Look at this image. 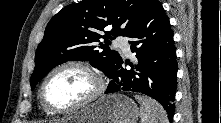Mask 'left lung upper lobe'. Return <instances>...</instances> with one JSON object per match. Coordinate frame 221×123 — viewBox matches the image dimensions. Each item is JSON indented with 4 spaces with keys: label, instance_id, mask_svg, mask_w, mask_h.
<instances>
[{
    "label": "left lung upper lobe",
    "instance_id": "left-lung-upper-lobe-1",
    "mask_svg": "<svg viewBox=\"0 0 221 123\" xmlns=\"http://www.w3.org/2000/svg\"><path fill=\"white\" fill-rule=\"evenodd\" d=\"M157 0H82L60 10L48 23L35 55L31 89L55 66L67 61H90L110 76L121 58L107 44L129 36ZM108 27L110 31H105ZM101 38L105 43H99Z\"/></svg>",
    "mask_w": 221,
    "mask_h": 123
}]
</instances>
